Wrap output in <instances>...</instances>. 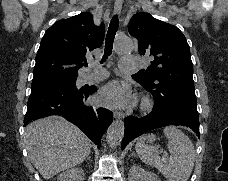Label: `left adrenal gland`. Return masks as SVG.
Segmentation results:
<instances>
[{"instance_id":"obj_1","label":"left adrenal gland","mask_w":228,"mask_h":181,"mask_svg":"<svg viewBox=\"0 0 228 181\" xmlns=\"http://www.w3.org/2000/svg\"><path fill=\"white\" fill-rule=\"evenodd\" d=\"M130 157H134V155H130Z\"/></svg>"}]
</instances>
